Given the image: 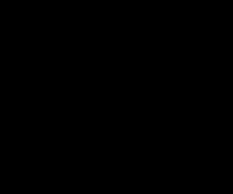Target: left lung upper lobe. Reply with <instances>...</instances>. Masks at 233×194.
<instances>
[{"mask_svg": "<svg viewBox=\"0 0 233 194\" xmlns=\"http://www.w3.org/2000/svg\"><path fill=\"white\" fill-rule=\"evenodd\" d=\"M143 108L152 133V149L158 153H182L197 127L198 105L186 89L167 81L148 85Z\"/></svg>", "mask_w": 233, "mask_h": 194, "instance_id": "1", "label": "left lung upper lobe"}]
</instances>
